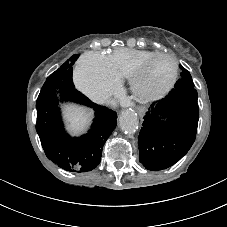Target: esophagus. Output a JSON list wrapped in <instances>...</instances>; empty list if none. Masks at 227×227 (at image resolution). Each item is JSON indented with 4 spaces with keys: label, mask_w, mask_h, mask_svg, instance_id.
Listing matches in <instances>:
<instances>
[{
    "label": "esophagus",
    "mask_w": 227,
    "mask_h": 227,
    "mask_svg": "<svg viewBox=\"0 0 227 227\" xmlns=\"http://www.w3.org/2000/svg\"><path fill=\"white\" fill-rule=\"evenodd\" d=\"M146 110L144 108L138 109L139 116H144Z\"/></svg>",
    "instance_id": "34e87169"
}]
</instances>
